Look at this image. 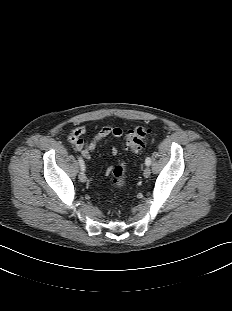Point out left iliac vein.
<instances>
[{"label": "left iliac vein", "mask_w": 232, "mask_h": 311, "mask_svg": "<svg viewBox=\"0 0 232 311\" xmlns=\"http://www.w3.org/2000/svg\"><path fill=\"white\" fill-rule=\"evenodd\" d=\"M151 174V169L147 166L145 167L144 171H143V175L145 178H148Z\"/></svg>", "instance_id": "1"}]
</instances>
